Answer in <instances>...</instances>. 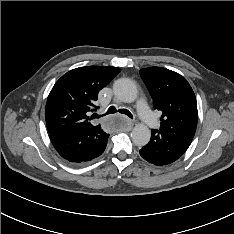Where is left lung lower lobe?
Returning a JSON list of instances; mask_svg holds the SVG:
<instances>
[{"label":"left lung lower lobe","instance_id":"obj_1","mask_svg":"<svg viewBox=\"0 0 234 234\" xmlns=\"http://www.w3.org/2000/svg\"><path fill=\"white\" fill-rule=\"evenodd\" d=\"M139 152L152 164L167 165L180 158L185 150L157 130H152L151 140Z\"/></svg>","mask_w":234,"mask_h":234}]
</instances>
